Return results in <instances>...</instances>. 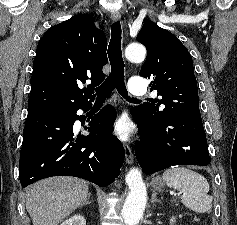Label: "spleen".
I'll return each mask as SVG.
<instances>
[{"label": "spleen", "instance_id": "spleen-1", "mask_svg": "<svg viewBox=\"0 0 237 225\" xmlns=\"http://www.w3.org/2000/svg\"><path fill=\"white\" fill-rule=\"evenodd\" d=\"M162 177L167 186L182 194L181 201L190 210L205 213L211 209L209 183L201 174L185 167H172L165 170Z\"/></svg>", "mask_w": 237, "mask_h": 225}]
</instances>
